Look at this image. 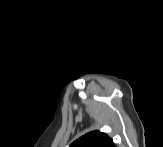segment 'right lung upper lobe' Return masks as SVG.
I'll use <instances>...</instances> for the list:
<instances>
[{"mask_svg":"<svg viewBox=\"0 0 163 147\" xmlns=\"http://www.w3.org/2000/svg\"><path fill=\"white\" fill-rule=\"evenodd\" d=\"M71 147H115V145L106 134L93 131L76 140Z\"/></svg>","mask_w":163,"mask_h":147,"instance_id":"cb5924a9","label":"right lung upper lobe"}]
</instances>
